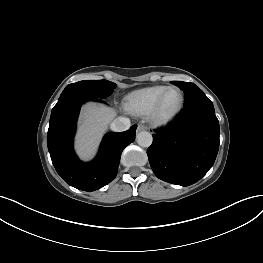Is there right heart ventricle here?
Listing matches in <instances>:
<instances>
[{
    "label": "right heart ventricle",
    "instance_id": "right-heart-ventricle-1",
    "mask_svg": "<svg viewBox=\"0 0 263 263\" xmlns=\"http://www.w3.org/2000/svg\"><path fill=\"white\" fill-rule=\"evenodd\" d=\"M168 86L145 87L129 93L124 101L125 109L136 116H146L152 111L162 93Z\"/></svg>",
    "mask_w": 263,
    "mask_h": 263
}]
</instances>
